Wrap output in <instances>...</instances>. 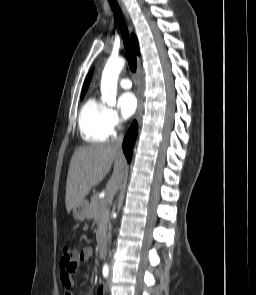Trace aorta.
Masks as SVG:
<instances>
[{
	"mask_svg": "<svg viewBox=\"0 0 256 295\" xmlns=\"http://www.w3.org/2000/svg\"><path fill=\"white\" fill-rule=\"evenodd\" d=\"M125 65V59H108L101 78V100L109 106L116 105L118 76Z\"/></svg>",
	"mask_w": 256,
	"mask_h": 295,
	"instance_id": "1",
	"label": "aorta"
}]
</instances>
